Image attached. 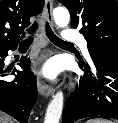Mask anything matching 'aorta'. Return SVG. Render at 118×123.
Wrapping results in <instances>:
<instances>
[{"instance_id": "762f6f07", "label": "aorta", "mask_w": 118, "mask_h": 123, "mask_svg": "<svg viewBox=\"0 0 118 123\" xmlns=\"http://www.w3.org/2000/svg\"><path fill=\"white\" fill-rule=\"evenodd\" d=\"M54 21L57 26L64 28L68 26L70 22L69 11L64 7H57L53 11ZM63 92L58 90L53 95L45 114L44 123H59L63 110Z\"/></svg>"}]
</instances>
